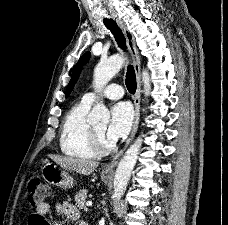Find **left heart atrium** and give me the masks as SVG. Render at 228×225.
Returning a JSON list of instances; mask_svg holds the SVG:
<instances>
[{"label": "left heart atrium", "instance_id": "left-heart-atrium-1", "mask_svg": "<svg viewBox=\"0 0 228 225\" xmlns=\"http://www.w3.org/2000/svg\"><path fill=\"white\" fill-rule=\"evenodd\" d=\"M133 121V110L129 103L119 102L111 109L107 137L116 140L125 137L130 132Z\"/></svg>", "mask_w": 228, "mask_h": 225}]
</instances>
